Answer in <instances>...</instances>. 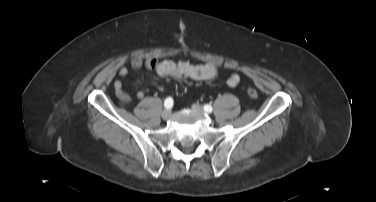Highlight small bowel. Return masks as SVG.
Here are the masks:
<instances>
[{
	"instance_id": "c3829d8e",
	"label": "small bowel",
	"mask_w": 376,
	"mask_h": 202,
	"mask_svg": "<svg viewBox=\"0 0 376 202\" xmlns=\"http://www.w3.org/2000/svg\"><path fill=\"white\" fill-rule=\"evenodd\" d=\"M145 66L151 69L160 78H173L177 80H212L218 74V66L213 63L205 64H192L187 61H175V60H163L159 61L155 58L143 59L136 56L131 60V67L133 69H139ZM129 74V68L123 66L119 69L118 75L121 78L126 77ZM239 76L237 74H231L227 80V84L230 87H235L239 83ZM113 90L115 96L122 103H129L131 101L130 95L124 90L123 84L120 80H115L113 83ZM135 97L140 100L144 97L142 91L136 92Z\"/></svg>"
}]
</instances>
